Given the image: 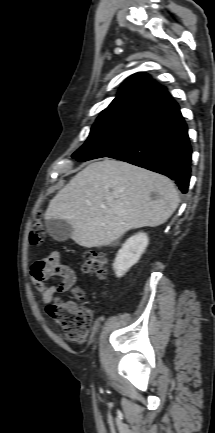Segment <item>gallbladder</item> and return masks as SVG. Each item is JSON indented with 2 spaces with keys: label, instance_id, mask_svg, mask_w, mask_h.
Listing matches in <instances>:
<instances>
[{
  "label": "gallbladder",
  "instance_id": "obj_1",
  "mask_svg": "<svg viewBox=\"0 0 215 433\" xmlns=\"http://www.w3.org/2000/svg\"><path fill=\"white\" fill-rule=\"evenodd\" d=\"M49 235L57 241H66L71 237L72 227L65 220L50 219L46 222Z\"/></svg>",
  "mask_w": 215,
  "mask_h": 433
}]
</instances>
